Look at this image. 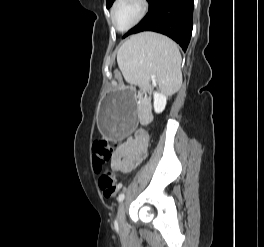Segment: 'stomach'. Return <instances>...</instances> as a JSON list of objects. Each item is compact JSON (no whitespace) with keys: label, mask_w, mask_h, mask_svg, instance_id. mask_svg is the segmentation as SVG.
I'll return each mask as SVG.
<instances>
[{"label":"stomach","mask_w":264,"mask_h":247,"mask_svg":"<svg viewBox=\"0 0 264 247\" xmlns=\"http://www.w3.org/2000/svg\"><path fill=\"white\" fill-rule=\"evenodd\" d=\"M135 94L129 87L107 94L99 108V124L108 141H123V136H131L138 123Z\"/></svg>","instance_id":"stomach-1"}]
</instances>
